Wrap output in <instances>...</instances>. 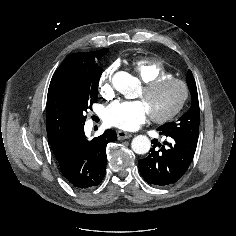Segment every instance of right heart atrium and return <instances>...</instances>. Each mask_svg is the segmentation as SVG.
<instances>
[{
	"label": "right heart atrium",
	"mask_w": 236,
	"mask_h": 236,
	"mask_svg": "<svg viewBox=\"0 0 236 236\" xmlns=\"http://www.w3.org/2000/svg\"><path fill=\"white\" fill-rule=\"evenodd\" d=\"M116 70V65L107 67L100 75L98 81V87L100 93L104 97H111L113 95V75Z\"/></svg>",
	"instance_id": "d8ad5b80"
}]
</instances>
